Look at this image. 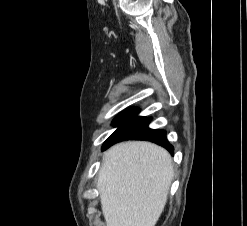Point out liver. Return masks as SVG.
Returning a JSON list of instances; mask_svg holds the SVG:
<instances>
[{
    "instance_id": "obj_1",
    "label": "liver",
    "mask_w": 247,
    "mask_h": 226,
    "mask_svg": "<svg viewBox=\"0 0 247 226\" xmlns=\"http://www.w3.org/2000/svg\"><path fill=\"white\" fill-rule=\"evenodd\" d=\"M173 176L170 154L153 143L128 141L111 147L97 178L106 226H155Z\"/></svg>"
}]
</instances>
